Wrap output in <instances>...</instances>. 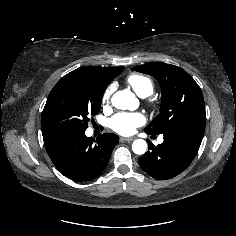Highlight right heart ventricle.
I'll use <instances>...</instances> for the list:
<instances>
[{
	"label": "right heart ventricle",
	"instance_id": "e07e8e85",
	"mask_svg": "<svg viewBox=\"0 0 236 236\" xmlns=\"http://www.w3.org/2000/svg\"><path fill=\"white\" fill-rule=\"evenodd\" d=\"M126 83L140 97H147L152 94L154 85L152 80L142 74H132L127 77Z\"/></svg>",
	"mask_w": 236,
	"mask_h": 236
}]
</instances>
